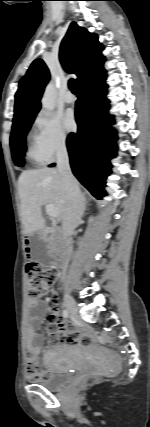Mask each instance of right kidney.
<instances>
[{"label":"right kidney","mask_w":150,"mask_h":427,"mask_svg":"<svg viewBox=\"0 0 150 427\" xmlns=\"http://www.w3.org/2000/svg\"><path fill=\"white\" fill-rule=\"evenodd\" d=\"M92 221V217L89 219V222H91Z\"/></svg>","instance_id":"1"}]
</instances>
